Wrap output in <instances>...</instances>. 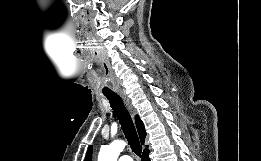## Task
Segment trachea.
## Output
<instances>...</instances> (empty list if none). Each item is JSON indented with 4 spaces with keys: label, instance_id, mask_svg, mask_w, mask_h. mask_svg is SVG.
<instances>
[{
    "label": "trachea",
    "instance_id": "obj_1",
    "mask_svg": "<svg viewBox=\"0 0 261 161\" xmlns=\"http://www.w3.org/2000/svg\"><path fill=\"white\" fill-rule=\"evenodd\" d=\"M105 96L109 100L110 105H111L112 109L114 110L117 119L119 120L123 133L128 141V144L130 145L132 151L136 155L141 156L142 147L139 142V138H138L135 126L133 124V121L131 119L129 112L127 111L126 107L124 106L122 99L118 95H105Z\"/></svg>",
    "mask_w": 261,
    "mask_h": 161
}]
</instances>
